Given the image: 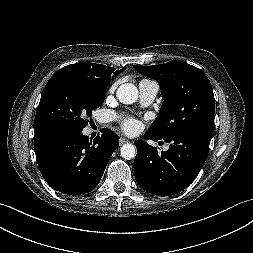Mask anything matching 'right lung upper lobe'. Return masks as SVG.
Instances as JSON below:
<instances>
[{
	"label": "right lung upper lobe",
	"mask_w": 253,
	"mask_h": 253,
	"mask_svg": "<svg viewBox=\"0 0 253 253\" xmlns=\"http://www.w3.org/2000/svg\"><path fill=\"white\" fill-rule=\"evenodd\" d=\"M125 69L115 71V68L108 67L102 64H95L90 62H81L76 64L67 65L57 72H66L84 76L86 78L95 80L96 82L108 85L113 74L116 76Z\"/></svg>",
	"instance_id": "cb5924a9"
}]
</instances>
